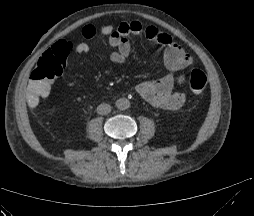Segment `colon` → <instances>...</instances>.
<instances>
[{
    "label": "colon",
    "instance_id": "1",
    "mask_svg": "<svg viewBox=\"0 0 254 216\" xmlns=\"http://www.w3.org/2000/svg\"><path fill=\"white\" fill-rule=\"evenodd\" d=\"M66 54L59 50L45 52L34 66L23 93V104L30 111L41 110L52 88V80L66 69ZM207 84L205 72L193 68L189 74V85L193 93L201 94Z\"/></svg>",
    "mask_w": 254,
    "mask_h": 216
}]
</instances>
